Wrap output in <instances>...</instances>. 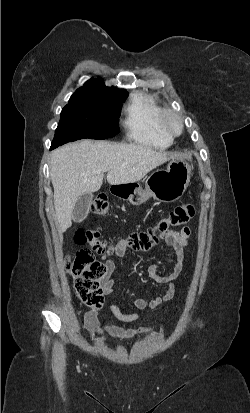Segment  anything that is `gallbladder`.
<instances>
[{
	"label": "gallbladder",
	"instance_id": "1",
	"mask_svg": "<svg viewBox=\"0 0 250 413\" xmlns=\"http://www.w3.org/2000/svg\"><path fill=\"white\" fill-rule=\"evenodd\" d=\"M92 199V193H85L80 198H78L72 213V218L75 222H82L86 218Z\"/></svg>",
	"mask_w": 250,
	"mask_h": 413
}]
</instances>
